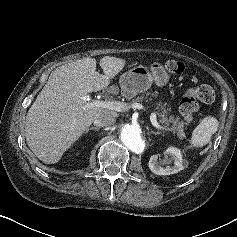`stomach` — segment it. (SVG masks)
<instances>
[{"instance_id": "0dacf381", "label": "stomach", "mask_w": 237, "mask_h": 237, "mask_svg": "<svg viewBox=\"0 0 237 237\" xmlns=\"http://www.w3.org/2000/svg\"><path fill=\"white\" fill-rule=\"evenodd\" d=\"M169 78L170 76L165 71L163 65L154 62L151 64L150 70L142 65L130 69L120 76L119 84L123 96L131 99L138 93L148 90L153 82L158 86L167 84Z\"/></svg>"}]
</instances>
